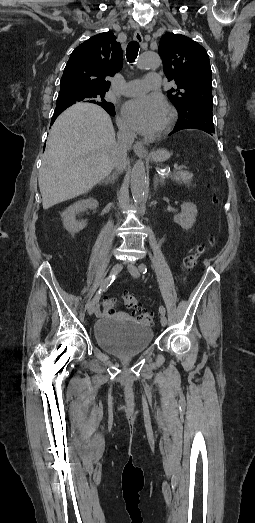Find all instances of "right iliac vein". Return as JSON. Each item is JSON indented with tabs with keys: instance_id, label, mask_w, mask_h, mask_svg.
<instances>
[{
	"instance_id": "63e3f726",
	"label": "right iliac vein",
	"mask_w": 255,
	"mask_h": 523,
	"mask_svg": "<svg viewBox=\"0 0 255 523\" xmlns=\"http://www.w3.org/2000/svg\"><path fill=\"white\" fill-rule=\"evenodd\" d=\"M123 268V265L122 263L118 262L116 264H114V266L112 267L111 269V275H116L118 274ZM96 309V302H94L93 300L89 303L88 305V313L89 315H92L94 313Z\"/></svg>"
}]
</instances>
